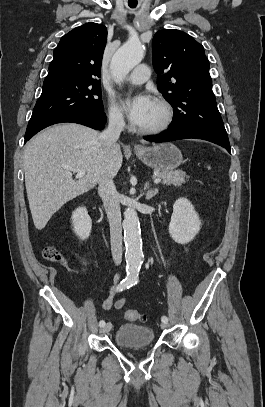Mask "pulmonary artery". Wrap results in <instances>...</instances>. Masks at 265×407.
<instances>
[{
  "label": "pulmonary artery",
  "instance_id": "e3ab8cb5",
  "mask_svg": "<svg viewBox=\"0 0 265 407\" xmlns=\"http://www.w3.org/2000/svg\"><path fill=\"white\" fill-rule=\"evenodd\" d=\"M150 70L147 65L141 64L127 76V81L133 85L143 84L149 78Z\"/></svg>",
  "mask_w": 265,
  "mask_h": 407
}]
</instances>
